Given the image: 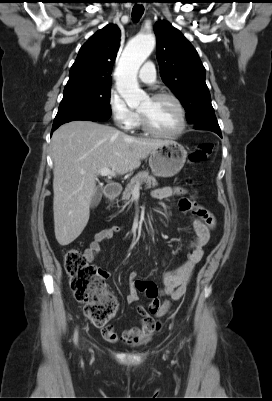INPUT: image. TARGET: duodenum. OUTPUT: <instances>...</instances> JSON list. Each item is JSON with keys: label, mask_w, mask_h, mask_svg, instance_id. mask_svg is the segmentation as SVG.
<instances>
[{"label": "duodenum", "mask_w": 272, "mask_h": 401, "mask_svg": "<svg viewBox=\"0 0 272 401\" xmlns=\"http://www.w3.org/2000/svg\"><path fill=\"white\" fill-rule=\"evenodd\" d=\"M121 186L119 184H109L105 188V195L109 200H114L121 192Z\"/></svg>", "instance_id": "1"}]
</instances>
